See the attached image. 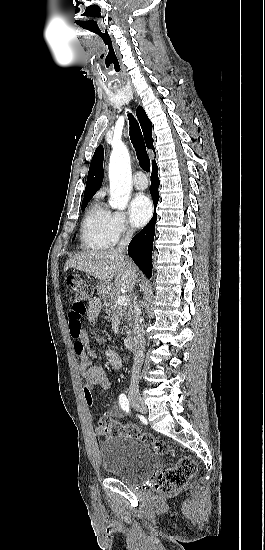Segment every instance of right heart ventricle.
<instances>
[{
	"label": "right heart ventricle",
	"instance_id": "obj_1",
	"mask_svg": "<svg viewBox=\"0 0 265 550\" xmlns=\"http://www.w3.org/2000/svg\"><path fill=\"white\" fill-rule=\"evenodd\" d=\"M112 213L100 202H94L81 224V244L89 250H106L115 239L111 230Z\"/></svg>",
	"mask_w": 265,
	"mask_h": 550
}]
</instances>
